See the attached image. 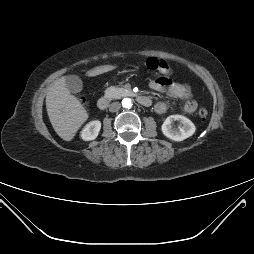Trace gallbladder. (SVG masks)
Returning a JSON list of instances; mask_svg holds the SVG:
<instances>
[{
    "label": "gallbladder",
    "mask_w": 254,
    "mask_h": 254,
    "mask_svg": "<svg viewBox=\"0 0 254 254\" xmlns=\"http://www.w3.org/2000/svg\"><path fill=\"white\" fill-rule=\"evenodd\" d=\"M66 87L72 93H78L83 88L82 80L77 75L66 76Z\"/></svg>",
    "instance_id": "1"
}]
</instances>
